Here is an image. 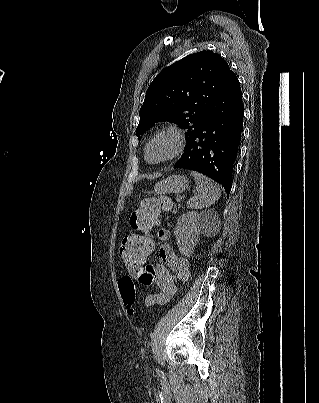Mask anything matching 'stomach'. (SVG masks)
Instances as JSON below:
<instances>
[{"label":"stomach","instance_id":"0dacf381","mask_svg":"<svg viewBox=\"0 0 319 403\" xmlns=\"http://www.w3.org/2000/svg\"><path fill=\"white\" fill-rule=\"evenodd\" d=\"M189 186V180L182 175H172L168 178L158 182L154 186V191L158 195H164L169 193H182Z\"/></svg>","mask_w":319,"mask_h":403}]
</instances>
